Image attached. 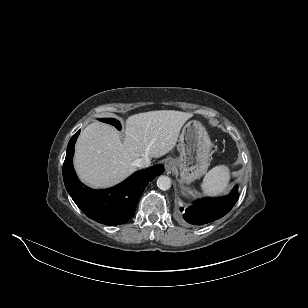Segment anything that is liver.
<instances>
[{"label": "liver", "instance_id": "6515ba94", "mask_svg": "<svg viewBox=\"0 0 308 308\" xmlns=\"http://www.w3.org/2000/svg\"><path fill=\"white\" fill-rule=\"evenodd\" d=\"M192 114L159 110L126 119L125 136L105 123L93 122L80 134L74 156L81 181L93 188H108L136 171L142 157L159 158L174 149L180 130Z\"/></svg>", "mask_w": 308, "mask_h": 308}]
</instances>
